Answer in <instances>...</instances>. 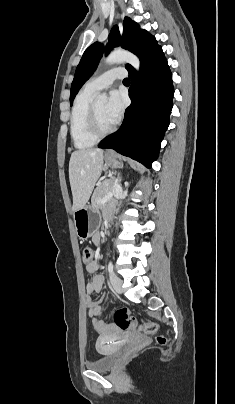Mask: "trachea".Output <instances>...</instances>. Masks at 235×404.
I'll return each instance as SVG.
<instances>
[{
	"mask_svg": "<svg viewBox=\"0 0 235 404\" xmlns=\"http://www.w3.org/2000/svg\"><path fill=\"white\" fill-rule=\"evenodd\" d=\"M123 82H124V83H130V79H129V78H125V79L123 80Z\"/></svg>",
	"mask_w": 235,
	"mask_h": 404,
	"instance_id": "trachea-1",
	"label": "trachea"
}]
</instances>
